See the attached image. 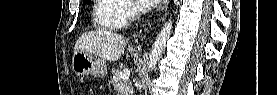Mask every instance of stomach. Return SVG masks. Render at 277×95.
<instances>
[{"instance_id": "obj_1", "label": "stomach", "mask_w": 277, "mask_h": 95, "mask_svg": "<svg viewBox=\"0 0 277 95\" xmlns=\"http://www.w3.org/2000/svg\"><path fill=\"white\" fill-rule=\"evenodd\" d=\"M72 70L78 76L92 75L103 78L107 74V65L86 51L76 52L72 58Z\"/></svg>"}]
</instances>
